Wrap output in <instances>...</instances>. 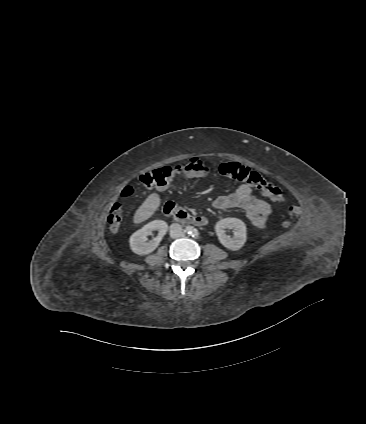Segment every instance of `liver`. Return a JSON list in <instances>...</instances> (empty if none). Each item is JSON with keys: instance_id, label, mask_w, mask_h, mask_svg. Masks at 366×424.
Returning <instances> with one entry per match:
<instances>
[{"instance_id": "obj_1", "label": "liver", "mask_w": 366, "mask_h": 424, "mask_svg": "<svg viewBox=\"0 0 366 424\" xmlns=\"http://www.w3.org/2000/svg\"><path fill=\"white\" fill-rule=\"evenodd\" d=\"M160 202L161 199L158 194H150L135 212L133 222L137 224L147 220L158 209Z\"/></svg>"}]
</instances>
